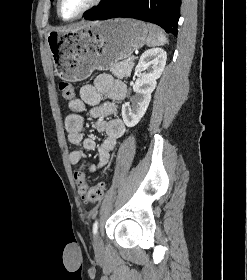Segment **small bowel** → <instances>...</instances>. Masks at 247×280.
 Masks as SVG:
<instances>
[{
  "mask_svg": "<svg viewBox=\"0 0 247 280\" xmlns=\"http://www.w3.org/2000/svg\"><path fill=\"white\" fill-rule=\"evenodd\" d=\"M126 92V85L122 81L103 74L98 76L93 84L82 86L80 97L69 102L70 114L66 116L64 126L69 142L76 147L69 154L71 164L83 166L86 152L93 150L96 146L92 138H86L83 134L82 113L87 106L90 107V116L96 120V129L105 133V137L98 147V162L90 165L89 171L94 172L108 163L111 151L115 149L118 139L125 132L123 121L114 117L116 108L113 102L124 99ZM102 96L108 97L110 101L101 103Z\"/></svg>",
  "mask_w": 247,
  "mask_h": 280,
  "instance_id": "1",
  "label": "small bowel"
}]
</instances>
